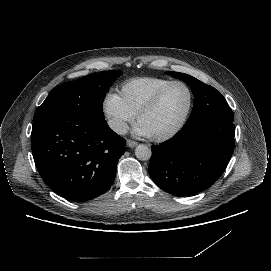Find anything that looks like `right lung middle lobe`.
I'll return each mask as SVG.
<instances>
[{"mask_svg": "<svg viewBox=\"0 0 271 271\" xmlns=\"http://www.w3.org/2000/svg\"><path fill=\"white\" fill-rule=\"evenodd\" d=\"M121 74V71L99 72L58 86L37 108L33 121L53 114L96 115L103 119L106 92Z\"/></svg>", "mask_w": 271, "mask_h": 271, "instance_id": "1", "label": "right lung middle lobe"}]
</instances>
